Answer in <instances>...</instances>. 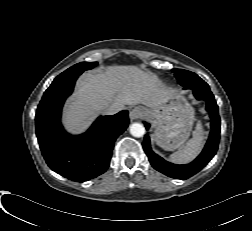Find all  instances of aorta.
I'll return each instance as SVG.
<instances>
[{
    "label": "aorta",
    "instance_id": "aorta-1",
    "mask_svg": "<svg viewBox=\"0 0 252 231\" xmlns=\"http://www.w3.org/2000/svg\"><path fill=\"white\" fill-rule=\"evenodd\" d=\"M130 133L134 137H142L145 134V128L140 123H133L130 125Z\"/></svg>",
    "mask_w": 252,
    "mask_h": 231
}]
</instances>
